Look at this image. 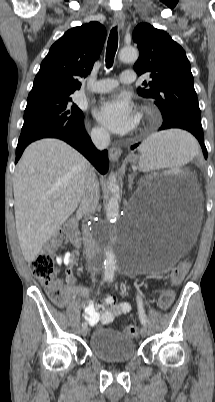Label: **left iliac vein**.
<instances>
[{"mask_svg": "<svg viewBox=\"0 0 215 402\" xmlns=\"http://www.w3.org/2000/svg\"><path fill=\"white\" fill-rule=\"evenodd\" d=\"M140 334L142 337H146L147 335V327L145 325H142L141 329H140Z\"/></svg>", "mask_w": 215, "mask_h": 402, "instance_id": "obj_1", "label": "left iliac vein"}]
</instances>
